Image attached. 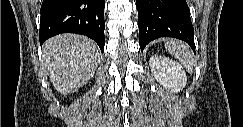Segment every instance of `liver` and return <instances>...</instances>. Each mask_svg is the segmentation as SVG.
<instances>
[{
  "label": "liver",
  "instance_id": "obj_1",
  "mask_svg": "<svg viewBox=\"0 0 243 127\" xmlns=\"http://www.w3.org/2000/svg\"><path fill=\"white\" fill-rule=\"evenodd\" d=\"M100 55L93 40L76 34L50 38L42 54L50 81L63 95L76 92L94 76Z\"/></svg>",
  "mask_w": 243,
  "mask_h": 127
}]
</instances>
